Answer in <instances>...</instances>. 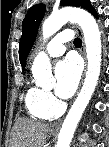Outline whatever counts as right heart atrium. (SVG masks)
<instances>
[{
	"mask_svg": "<svg viewBox=\"0 0 109 147\" xmlns=\"http://www.w3.org/2000/svg\"><path fill=\"white\" fill-rule=\"evenodd\" d=\"M40 99L47 108L53 110L58 108V102L50 91L42 90Z\"/></svg>",
	"mask_w": 109,
	"mask_h": 147,
	"instance_id": "right-heart-atrium-1",
	"label": "right heart atrium"
}]
</instances>
